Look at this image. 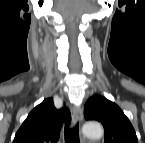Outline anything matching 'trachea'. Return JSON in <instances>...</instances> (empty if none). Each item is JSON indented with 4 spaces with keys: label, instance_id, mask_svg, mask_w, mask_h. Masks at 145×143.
<instances>
[{
    "label": "trachea",
    "instance_id": "trachea-1",
    "mask_svg": "<svg viewBox=\"0 0 145 143\" xmlns=\"http://www.w3.org/2000/svg\"><path fill=\"white\" fill-rule=\"evenodd\" d=\"M65 143H79L78 124L74 128H65Z\"/></svg>",
    "mask_w": 145,
    "mask_h": 143
}]
</instances>
